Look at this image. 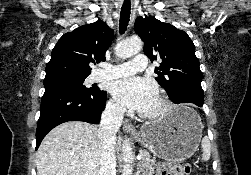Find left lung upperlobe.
I'll return each instance as SVG.
<instances>
[{
    "label": "left lung upper lobe",
    "mask_w": 251,
    "mask_h": 175,
    "mask_svg": "<svg viewBox=\"0 0 251 175\" xmlns=\"http://www.w3.org/2000/svg\"><path fill=\"white\" fill-rule=\"evenodd\" d=\"M134 28L144 42L146 56L161 61L155 68L156 80L168 95L181 88L203 94V75L194 43L186 32L150 16L138 17Z\"/></svg>",
    "instance_id": "left-lung-upper-lobe-1"
}]
</instances>
